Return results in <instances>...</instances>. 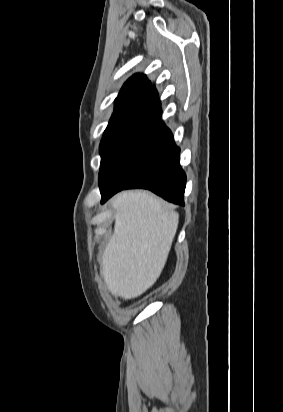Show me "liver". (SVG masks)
<instances>
[{"label": "liver", "mask_w": 283, "mask_h": 412, "mask_svg": "<svg viewBox=\"0 0 283 412\" xmlns=\"http://www.w3.org/2000/svg\"><path fill=\"white\" fill-rule=\"evenodd\" d=\"M114 233L102 257L108 290L125 300L159 278L174 240L179 214L146 191H125L112 201Z\"/></svg>", "instance_id": "obj_1"}]
</instances>
